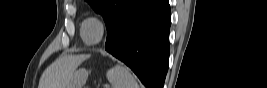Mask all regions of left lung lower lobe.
Masks as SVG:
<instances>
[{"mask_svg":"<svg viewBox=\"0 0 267 88\" xmlns=\"http://www.w3.org/2000/svg\"><path fill=\"white\" fill-rule=\"evenodd\" d=\"M168 0H135L107 31L105 50L128 65L147 88H163L169 63Z\"/></svg>","mask_w":267,"mask_h":88,"instance_id":"0a47b994","label":"left lung lower lobe"}]
</instances>
